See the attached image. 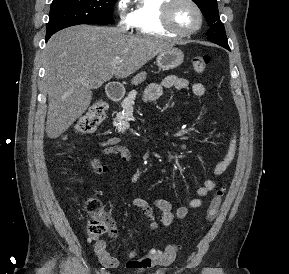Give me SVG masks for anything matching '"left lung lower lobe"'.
I'll list each match as a JSON object with an SVG mask.
<instances>
[{
    "instance_id": "1",
    "label": "left lung lower lobe",
    "mask_w": 289,
    "mask_h": 274,
    "mask_svg": "<svg viewBox=\"0 0 289 274\" xmlns=\"http://www.w3.org/2000/svg\"><path fill=\"white\" fill-rule=\"evenodd\" d=\"M224 48H226V49L230 50V48H229V47H224Z\"/></svg>"
}]
</instances>
